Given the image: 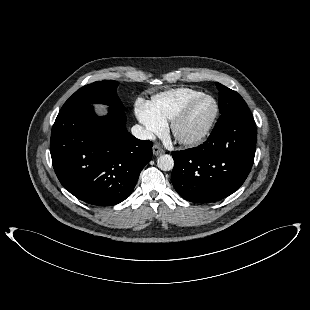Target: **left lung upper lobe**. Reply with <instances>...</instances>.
<instances>
[{
	"label": "left lung upper lobe",
	"mask_w": 310,
	"mask_h": 310,
	"mask_svg": "<svg viewBox=\"0 0 310 310\" xmlns=\"http://www.w3.org/2000/svg\"><path fill=\"white\" fill-rule=\"evenodd\" d=\"M216 86L219 90V110L221 113L216 126L250 112L246 102L236 91L217 82Z\"/></svg>",
	"instance_id": "5c2ea615"
}]
</instances>
